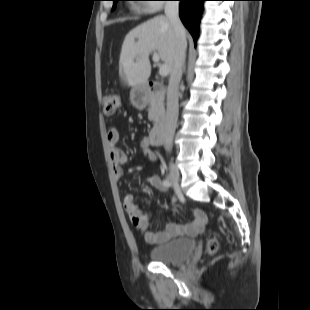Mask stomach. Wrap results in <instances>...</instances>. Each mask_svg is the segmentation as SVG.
I'll list each match as a JSON object with an SVG mask.
<instances>
[{"mask_svg": "<svg viewBox=\"0 0 310 310\" xmlns=\"http://www.w3.org/2000/svg\"><path fill=\"white\" fill-rule=\"evenodd\" d=\"M130 99L135 107L141 108L146 105L147 92L142 86H134L130 92Z\"/></svg>", "mask_w": 310, "mask_h": 310, "instance_id": "1", "label": "stomach"}]
</instances>
